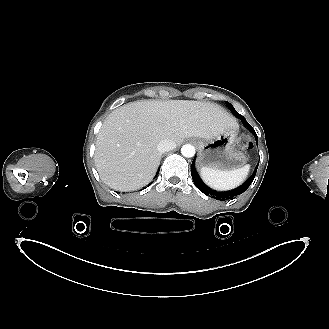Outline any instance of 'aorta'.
<instances>
[{"instance_id": "obj_1", "label": "aorta", "mask_w": 329, "mask_h": 329, "mask_svg": "<svg viewBox=\"0 0 329 329\" xmlns=\"http://www.w3.org/2000/svg\"><path fill=\"white\" fill-rule=\"evenodd\" d=\"M181 154L184 157L190 158L193 157L195 155V148L193 145L191 144H185L182 146L181 148Z\"/></svg>"}]
</instances>
